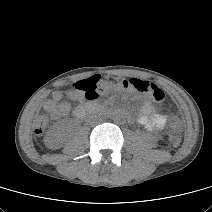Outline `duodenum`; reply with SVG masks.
Segmentation results:
<instances>
[{
	"label": "duodenum",
	"mask_w": 212,
	"mask_h": 212,
	"mask_svg": "<svg viewBox=\"0 0 212 212\" xmlns=\"http://www.w3.org/2000/svg\"><path fill=\"white\" fill-rule=\"evenodd\" d=\"M102 109L100 106H98L95 103H85L78 106L75 110V118L80 119L82 118L88 111H91L93 109Z\"/></svg>",
	"instance_id": "obj_1"
}]
</instances>
